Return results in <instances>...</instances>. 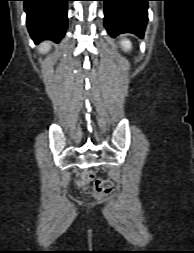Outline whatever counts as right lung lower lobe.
I'll list each match as a JSON object with an SVG mask.
<instances>
[{
	"label": "right lung lower lobe",
	"instance_id": "98d812e1",
	"mask_svg": "<svg viewBox=\"0 0 194 253\" xmlns=\"http://www.w3.org/2000/svg\"><path fill=\"white\" fill-rule=\"evenodd\" d=\"M24 2L27 28L33 40L50 39L58 42L67 29V1L21 0Z\"/></svg>",
	"mask_w": 194,
	"mask_h": 253
}]
</instances>
